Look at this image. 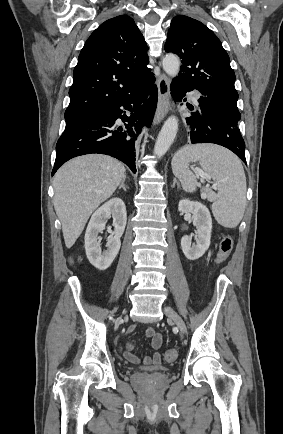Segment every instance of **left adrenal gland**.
I'll return each instance as SVG.
<instances>
[{"label": "left adrenal gland", "mask_w": 283, "mask_h": 434, "mask_svg": "<svg viewBox=\"0 0 283 434\" xmlns=\"http://www.w3.org/2000/svg\"><path fill=\"white\" fill-rule=\"evenodd\" d=\"M176 184H177V187H178V189H179L180 186H179V183L177 182L176 179H174V181H173L172 188H174Z\"/></svg>", "instance_id": "obj_1"}]
</instances>
